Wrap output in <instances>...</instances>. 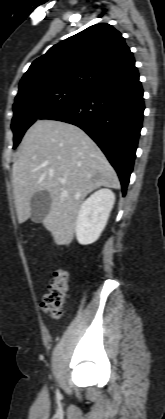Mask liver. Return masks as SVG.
<instances>
[{"label":"liver","instance_id":"liver-1","mask_svg":"<svg viewBox=\"0 0 165 419\" xmlns=\"http://www.w3.org/2000/svg\"><path fill=\"white\" fill-rule=\"evenodd\" d=\"M61 179L66 183L61 184ZM12 185L19 223L31 217L35 193L50 194L52 203L43 225L57 245H69L85 197L101 186L119 188L120 183L103 152L83 130L61 121L37 120L19 147Z\"/></svg>","mask_w":165,"mask_h":419}]
</instances>
